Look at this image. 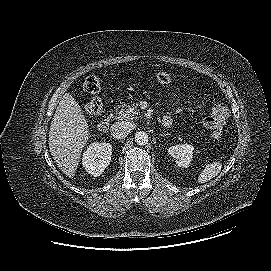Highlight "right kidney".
<instances>
[{
  "label": "right kidney",
  "mask_w": 271,
  "mask_h": 271,
  "mask_svg": "<svg viewBox=\"0 0 271 271\" xmlns=\"http://www.w3.org/2000/svg\"><path fill=\"white\" fill-rule=\"evenodd\" d=\"M111 154V144L94 142L83 153L82 165L92 176H100L108 167Z\"/></svg>",
  "instance_id": "obj_1"
}]
</instances>
